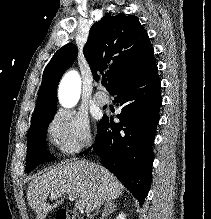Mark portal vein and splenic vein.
Here are the masks:
<instances>
[{"instance_id": "obj_1", "label": "portal vein and splenic vein", "mask_w": 211, "mask_h": 219, "mask_svg": "<svg viewBox=\"0 0 211 219\" xmlns=\"http://www.w3.org/2000/svg\"><path fill=\"white\" fill-rule=\"evenodd\" d=\"M58 197H61V194H51L50 195V198H52V199H56ZM69 200L70 201H76L75 207L77 209L82 210L84 208V205L80 201L77 200V197L74 194L69 195Z\"/></svg>"}]
</instances>
